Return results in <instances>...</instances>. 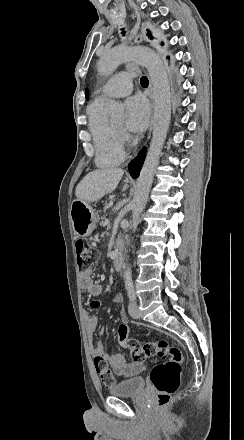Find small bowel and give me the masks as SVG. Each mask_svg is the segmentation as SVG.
Returning a JSON list of instances; mask_svg holds the SVG:
<instances>
[{
    "mask_svg": "<svg viewBox=\"0 0 244 440\" xmlns=\"http://www.w3.org/2000/svg\"><path fill=\"white\" fill-rule=\"evenodd\" d=\"M80 282L82 288L93 297H98L102 293V286L93 281V270L87 268L80 273ZM114 301L118 304L122 303L121 295H116ZM99 303L94 301L91 303L92 307H97ZM126 322L125 320L123 321ZM98 326V318L96 316L86 315V330L89 337V349L92 354L105 353L106 362L110 365L112 371L121 377H134L142 373L145 369L143 363H133V361H127L123 355L107 353L104 345L101 341L94 343L92 335L96 331ZM131 330V328H130ZM103 334V329L100 330V335Z\"/></svg>",
    "mask_w": 244,
    "mask_h": 440,
    "instance_id": "obj_1",
    "label": "small bowel"
}]
</instances>
